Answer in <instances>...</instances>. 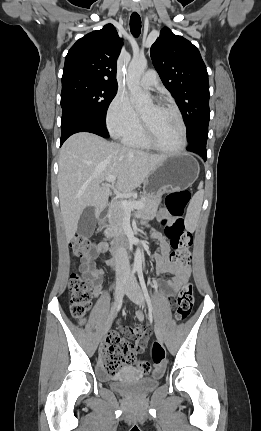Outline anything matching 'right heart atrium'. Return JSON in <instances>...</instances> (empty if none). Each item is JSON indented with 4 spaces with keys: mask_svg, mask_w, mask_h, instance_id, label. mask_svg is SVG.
<instances>
[{
    "mask_svg": "<svg viewBox=\"0 0 261 431\" xmlns=\"http://www.w3.org/2000/svg\"><path fill=\"white\" fill-rule=\"evenodd\" d=\"M107 127L112 136L124 138L140 127V118L125 92L119 91L106 113Z\"/></svg>",
    "mask_w": 261,
    "mask_h": 431,
    "instance_id": "right-heart-atrium-1",
    "label": "right heart atrium"
}]
</instances>
